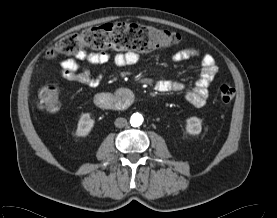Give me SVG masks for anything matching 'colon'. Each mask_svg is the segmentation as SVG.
I'll list each match as a JSON object with an SVG mask.
<instances>
[{"instance_id":"5ec220e1","label":"colon","mask_w":277,"mask_h":218,"mask_svg":"<svg viewBox=\"0 0 277 218\" xmlns=\"http://www.w3.org/2000/svg\"><path fill=\"white\" fill-rule=\"evenodd\" d=\"M179 42V35L173 31L134 23H106L61 38L47 51L46 57L55 59L64 55H76L87 48L145 53ZM218 92L222 103L231 102L235 96V89L229 84H221ZM39 108L47 113L59 110V89L56 85L48 83L41 88Z\"/></svg>"}]
</instances>
